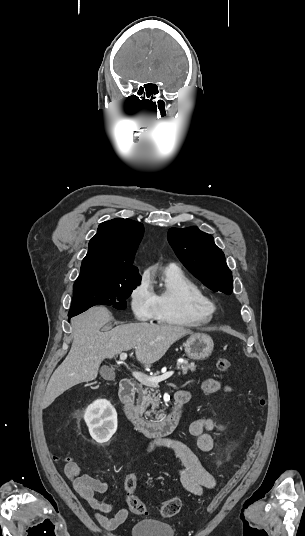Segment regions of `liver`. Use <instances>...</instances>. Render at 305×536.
<instances>
[{
    "label": "liver",
    "mask_w": 305,
    "mask_h": 536,
    "mask_svg": "<svg viewBox=\"0 0 305 536\" xmlns=\"http://www.w3.org/2000/svg\"><path fill=\"white\" fill-rule=\"evenodd\" d=\"M111 320V314L103 306L90 308L71 320L73 328L72 348L55 370L44 394L42 408H48L63 392L81 384L92 382L98 376L100 364L105 358H115L121 352L135 348L138 362L145 368L158 362L168 348L191 330L170 324H123L110 332H100Z\"/></svg>",
    "instance_id": "6515ba94"
}]
</instances>
